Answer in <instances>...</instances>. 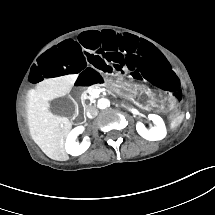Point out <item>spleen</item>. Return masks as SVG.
<instances>
[{
  "instance_id": "spleen-1",
  "label": "spleen",
  "mask_w": 215,
  "mask_h": 215,
  "mask_svg": "<svg viewBox=\"0 0 215 215\" xmlns=\"http://www.w3.org/2000/svg\"><path fill=\"white\" fill-rule=\"evenodd\" d=\"M182 118H183L182 116H179V117L175 118V119L171 122V127H172L173 129H175V128L181 123Z\"/></svg>"
}]
</instances>
